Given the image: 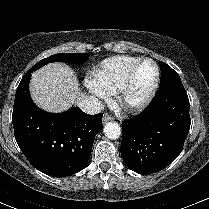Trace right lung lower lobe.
I'll list each match as a JSON object with an SVG mask.
<instances>
[{"label": "right lung lower lobe", "instance_id": "1", "mask_svg": "<svg viewBox=\"0 0 209 209\" xmlns=\"http://www.w3.org/2000/svg\"><path fill=\"white\" fill-rule=\"evenodd\" d=\"M32 72L22 78L15 96L12 122L15 139L29 162L41 172L64 177L82 170L90 158L102 113L88 115L79 108L62 114L36 107L29 94Z\"/></svg>", "mask_w": 209, "mask_h": 209}]
</instances>
